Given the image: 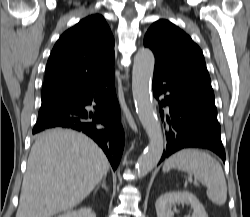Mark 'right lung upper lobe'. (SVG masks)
I'll list each match as a JSON object with an SVG mask.
<instances>
[{
	"label": "right lung upper lobe",
	"mask_w": 250,
	"mask_h": 217,
	"mask_svg": "<svg viewBox=\"0 0 250 217\" xmlns=\"http://www.w3.org/2000/svg\"><path fill=\"white\" fill-rule=\"evenodd\" d=\"M114 38L101 15L82 19L64 32L46 66L41 100L96 83L114 71Z\"/></svg>",
	"instance_id": "cb5924a9"
}]
</instances>
